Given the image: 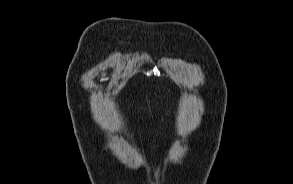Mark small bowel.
<instances>
[{
    "mask_svg": "<svg viewBox=\"0 0 293 184\" xmlns=\"http://www.w3.org/2000/svg\"><path fill=\"white\" fill-rule=\"evenodd\" d=\"M160 172H161V166L157 165L156 168H155V171H154L155 180H157L159 178Z\"/></svg>",
    "mask_w": 293,
    "mask_h": 184,
    "instance_id": "small-bowel-1",
    "label": "small bowel"
}]
</instances>
